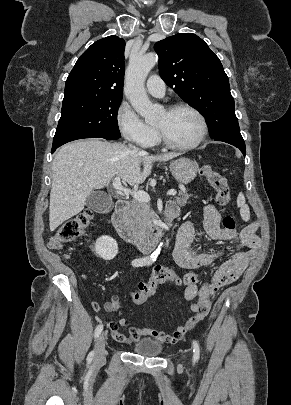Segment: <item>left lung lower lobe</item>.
Returning a JSON list of instances; mask_svg holds the SVG:
<instances>
[{"mask_svg": "<svg viewBox=\"0 0 291 405\" xmlns=\"http://www.w3.org/2000/svg\"><path fill=\"white\" fill-rule=\"evenodd\" d=\"M215 141H222L234 145L235 147L239 148L243 155H246V147L242 137H234V136H220L215 139Z\"/></svg>", "mask_w": 291, "mask_h": 405, "instance_id": "1", "label": "left lung lower lobe"}]
</instances>
